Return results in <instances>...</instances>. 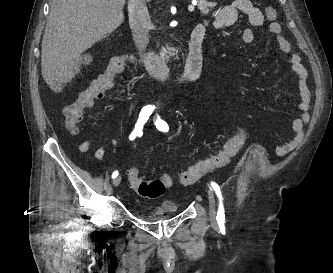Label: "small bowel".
<instances>
[{
	"label": "small bowel",
	"mask_w": 333,
	"mask_h": 273,
	"mask_svg": "<svg viewBox=\"0 0 333 273\" xmlns=\"http://www.w3.org/2000/svg\"><path fill=\"white\" fill-rule=\"evenodd\" d=\"M239 13L244 14L247 17L249 24L253 27L262 26L266 20L264 10L254 7L249 0H233L219 10L212 22V26L216 29L232 26L236 23ZM201 25L206 29V25ZM269 29L271 33L275 35L280 50L285 54H290L291 68L297 76L301 98L299 104L301 117L296 119L293 123V138L280 147L279 152L283 154L293 151L301 140L303 125L309 118L308 109L310 104V92L307 84V72L301 63L300 56L297 53H292L290 43L282 36L280 24L278 22L270 23ZM241 36L243 42L246 44H250L254 41V34L250 28H245L242 31ZM91 144L92 140L87 139L79 145L78 149L81 153H86L90 149ZM105 156V148L103 146L97 147L95 150V157L98 160L103 161Z\"/></svg>",
	"instance_id": "c3829d8e"
}]
</instances>
